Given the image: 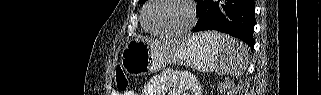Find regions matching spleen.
<instances>
[{
	"label": "spleen",
	"instance_id": "1",
	"mask_svg": "<svg viewBox=\"0 0 321 95\" xmlns=\"http://www.w3.org/2000/svg\"><path fill=\"white\" fill-rule=\"evenodd\" d=\"M208 35L219 39L223 46V51L215 67L216 72L220 75L242 74L248 65V46L228 35H221L217 32L208 33Z\"/></svg>",
	"mask_w": 321,
	"mask_h": 95
}]
</instances>
